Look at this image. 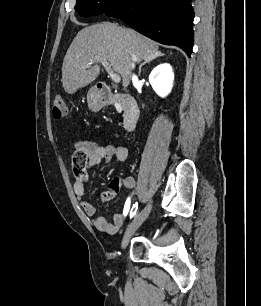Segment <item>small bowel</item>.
<instances>
[{"label":"small bowel","instance_id":"small-bowel-1","mask_svg":"<svg viewBox=\"0 0 261 306\" xmlns=\"http://www.w3.org/2000/svg\"><path fill=\"white\" fill-rule=\"evenodd\" d=\"M74 144L76 149L85 148L88 151L87 161L82 168L77 169L72 164V175L74 178L73 189L75 195L80 200V205L84 213L91 219L96 229L107 234H115L125 222L127 215H124V209L122 213L114 214L111 222L107 221L105 217L97 215L95 206L84 199L86 194V182L89 169L103 161L107 162L112 158L121 162L125 161L128 157V149L118 144H97L86 140H75ZM121 185L128 189H134L135 180L133 177H126L122 182L118 179H114L105 192L104 198H108L113 190H119Z\"/></svg>","mask_w":261,"mask_h":306}]
</instances>
